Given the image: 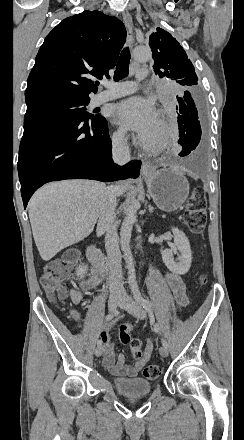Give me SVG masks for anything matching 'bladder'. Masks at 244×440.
Instances as JSON below:
<instances>
[{
	"instance_id": "obj_1",
	"label": "bladder",
	"mask_w": 244,
	"mask_h": 440,
	"mask_svg": "<svg viewBox=\"0 0 244 440\" xmlns=\"http://www.w3.org/2000/svg\"><path fill=\"white\" fill-rule=\"evenodd\" d=\"M115 391L126 396L148 394L152 390V384L144 377L112 379Z\"/></svg>"
}]
</instances>
